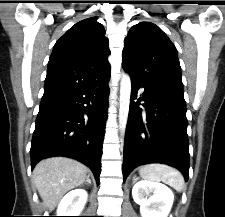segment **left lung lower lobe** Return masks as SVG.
I'll return each instance as SVG.
<instances>
[{
  "label": "left lung lower lobe",
  "instance_id": "0a47b994",
  "mask_svg": "<svg viewBox=\"0 0 225 217\" xmlns=\"http://www.w3.org/2000/svg\"><path fill=\"white\" fill-rule=\"evenodd\" d=\"M129 117L125 134L123 176L137 166L164 163L189 176V143L183 93L146 87L131 80ZM144 93L136 102L137 90ZM141 99L145 101L139 107Z\"/></svg>",
  "mask_w": 225,
  "mask_h": 217
}]
</instances>
